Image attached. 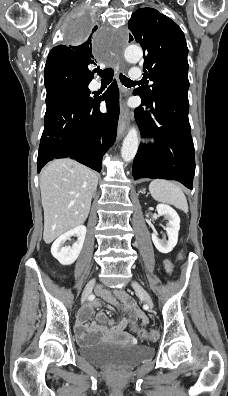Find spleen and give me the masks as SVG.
<instances>
[{"mask_svg": "<svg viewBox=\"0 0 228 396\" xmlns=\"http://www.w3.org/2000/svg\"><path fill=\"white\" fill-rule=\"evenodd\" d=\"M151 196L158 202L171 204L183 212H188L187 199L179 186L173 182L156 179L149 185Z\"/></svg>", "mask_w": 228, "mask_h": 396, "instance_id": "1", "label": "spleen"}]
</instances>
